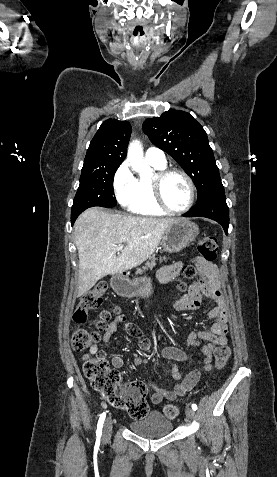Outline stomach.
<instances>
[{
  "label": "stomach",
  "instance_id": "obj_1",
  "mask_svg": "<svg viewBox=\"0 0 277 477\" xmlns=\"http://www.w3.org/2000/svg\"><path fill=\"white\" fill-rule=\"evenodd\" d=\"M199 234L197 224L186 219H175L166 229L162 237V248L166 252H179L189 246ZM112 288L125 297H148L152 293L151 280L139 277L130 280L127 277L115 276L111 280Z\"/></svg>",
  "mask_w": 277,
  "mask_h": 477
}]
</instances>
